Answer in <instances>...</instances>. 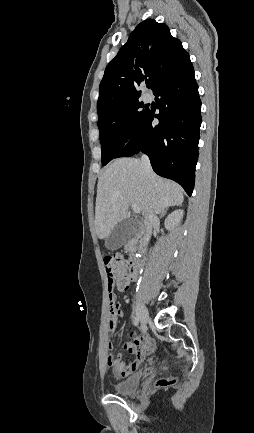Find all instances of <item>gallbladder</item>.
Instances as JSON below:
<instances>
[{
  "instance_id": "1",
  "label": "gallbladder",
  "mask_w": 254,
  "mask_h": 433,
  "mask_svg": "<svg viewBox=\"0 0 254 433\" xmlns=\"http://www.w3.org/2000/svg\"><path fill=\"white\" fill-rule=\"evenodd\" d=\"M141 230L140 223L134 219H124L116 224L107 237L105 246L117 250L129 240L136 238Z\"/></svg>"
}]
</instances>
